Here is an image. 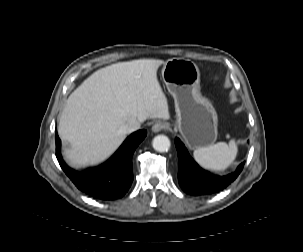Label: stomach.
<instances>
[{
  "label": "stomach",
  "instance_id": "0dacf381",
  "mask_svg": "<svg viewBox=\"0 0 303 252\" xmlns=\"http://www.w3.org/2000/svg\"><path fill=\"white\" fill-rule=\"evenodd\" d=\"M162 78L175 101L178 129L189 148L212 145L217 139V113L200 93V71L187 59L172 58L163 64Z\"/></svg>",
  "mask_w": 303,
  "mask_h": 252
}]
</instances>
